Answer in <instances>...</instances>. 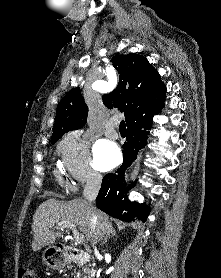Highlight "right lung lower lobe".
Listing matches in <instances>:
<instances>
[{"label":"right lung lower lobe","mask_w":221,"mask_h":278,"mask_svg":"<svg viewBox=\"0 0 221 278\" xmlns=\"http://www.w3.org/2000/svg\"><path fill=\"white\" fill-rule=\"evenodd\" d=\"M154 115L128 126L127 141L123 145V164L115 174L109 173L104 176L96 199L99 209L125 222L132 220L145 222L149 214V207L145 204L130 202L126 194L129 187H126L123 181L125 170L135 160L138 151L146 145L148 130L151 128ZM135 184L136 181L130 185V188Z\"/></svg>","instance_id":"obj_1"}]
</instances>
